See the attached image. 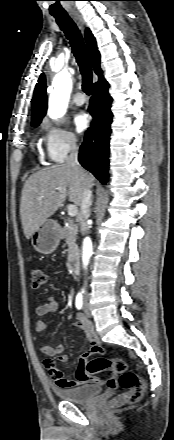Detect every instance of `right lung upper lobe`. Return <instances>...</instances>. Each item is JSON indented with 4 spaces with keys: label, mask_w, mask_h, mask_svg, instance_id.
<instances>
[{
    "label": "right lung upper lobe",
    "mask_w": 174,
    "mask_h": 440,
    "mask_svg": "<svg viewBox=\"0 0 174 440\" xmlns=\"http://www.w3.org/2000/svg\"><path fill=\"white\" fill-rule=\"evenodd\" d=\"M86 43L88 51L93 63L94 71L99 76V80L103 79L102 70L100 68V53L98 51L96 40L87 28L85 32ZM97 83V82H96ZM32 122L41 121L47 110V96H46V80L42 74L36 84L34 95L32 99Z\"/></svg>",
    "instance_id": "cb5924a9"
}]
</instances>
